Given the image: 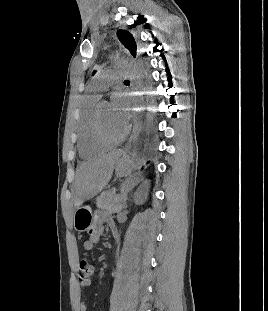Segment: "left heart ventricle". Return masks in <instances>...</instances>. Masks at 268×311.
Wrapping results in <instances>:
<instances>
[{
	"label": "left heart ventricle",
	"mask_w": 268,
	"mask_h": 311,
	"mask_svg": "<svg viewBox=\"0 0 268 311\" xmlns=\"http://www.w3.org/2000/svg\"><path fill=\"white\" fill-rule=\"evenodd\" d=\"M101 110L102 126L105 134L111 138H117L123 132L125 125L118 120L111 104L103 103Z\"/></svg>",
	"instance_id": "b2bd125f"
}]
</instances>
